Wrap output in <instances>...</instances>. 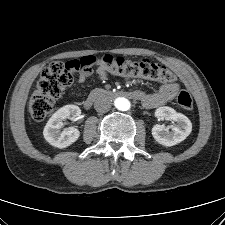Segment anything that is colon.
Returning a JSON list of instances; mask_svg holds the SVG:
<instances>
[{
	"instance_id": "5ec220e1",
	"label": "colon",
	"mask_w": 225,
	"mask_h": 225,
	"mask_svg": "<svg viewBox=\"0 0 225 225\" xmlns=\"http://www.w3.org/2000/svg\"><path fill=\"white\" fill-rule=\"evenodd\" d=\"M99 66L107 73L139 77L163 83H171L175 75L168 68L150 62H132L122 57L104 54L101 57L85 56L69 62L53 61L41 73L29 101V111L34 120L40 121L54 109L55 101L62 91L72 83V71ZM179 106L186 111L193 108L190 94L180 90L177 94Z\"/></svg>"
}]
</instances>
